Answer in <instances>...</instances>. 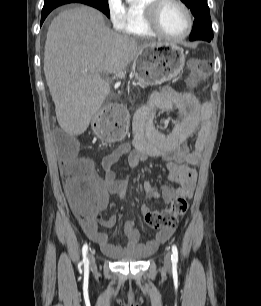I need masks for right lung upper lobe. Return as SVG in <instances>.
I'll list each match as a JSON object with an SVG mask.
<instances>
[{"mask_svg": "<svg viewBox=\"0 0 261 306\" xmlns=\"http://www.w3.org/2000/svg\"><path fill=\"white\" fill-rule=\"evenodd\" d=\"M68 1H79V0H68Z\"/></svg>", "mask_w": 261, "mask_h": 306, "instance_id": "1", "label": "right lung upper lobe"}]
</instances>
